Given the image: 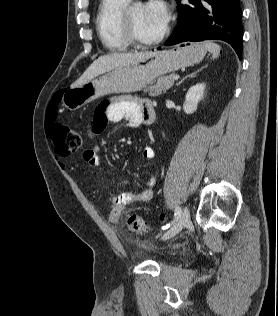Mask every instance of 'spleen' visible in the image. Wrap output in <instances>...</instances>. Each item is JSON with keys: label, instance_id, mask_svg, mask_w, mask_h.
Listing matches in <instances>:
<instances>
[{"label": "spleen", "instance_id": "obj_1", "mask_svg": "<svg viewBox=\"0 0 278 316\" xmlns=\"http://www.w3.org/2000/svg\"><path fill=\"white\" fill-rule=\"evenodd\" d=\"M203 46L207 51H209L212 54L213 59L217 58L220 55L221 47L218 44L213 43L211 41H205L203 43Z\"/></svg>", "mask_w": 278, "mask_h": 316}]
</instances>
